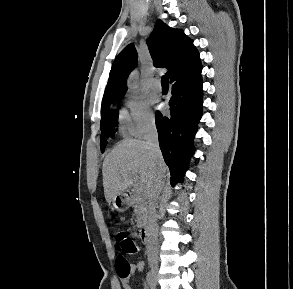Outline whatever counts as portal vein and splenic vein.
Returning <instances> with one entry per match:
<instances>
[{
	"mask_svg": "<svg viewBox=\"0 0 293 289\" xmlns=\"http://www.w3.org/2000/svg\"><path fill=\"white\" fill-rule=\"evenodd\" d=\"M135 188H136V193H138V194H141V192L143 191L142 187L138 184Z\"/></svg>",
	"mask_w": 293,
	"mask_h": 289,
	"instance_id": "1",
	"label": "portal vein and splenic vein"
}]
</instances>
